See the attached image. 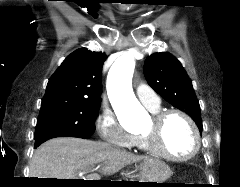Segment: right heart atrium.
I'll use <instances>...</instances> for the list:
<instances>
[{"mask_svg": "<svg viewBox=\"0 0 240 187\" xmlns=\"http://www.w3.org/2000/svg\"><path fill=\"white\" fill-rule=\"evenodd\" d=\"M96 128L100 138L111 145L130 148L135 145L136 137L127 133L119 124L110 109H104L96 120Z\"/></svg>", "mask_w": 240, "mask_h": 187, "instance_id": "1", "label": "right heart atrium"}]
</instances>
